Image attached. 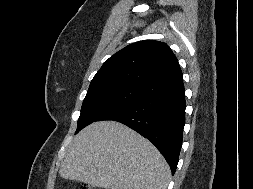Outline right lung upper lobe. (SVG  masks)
Here are the masks:
<instances>
[{"mask_svg": "<svg viewBox=\"0 0 253 189\" xmlns=\"http://www.w3.org/2000/svg\"><path fill=\"white\" fill-rule=\"evenodd\" d=\"M177 58L167 44L145 40L130 44L104 62L89 90L107 86H128L150 91L181 81Z\"/></svg>", "mask_w": 253, "mask_h": 189, "instance_id": "1", "label": "right lung upper lobe"}]
</instances>
